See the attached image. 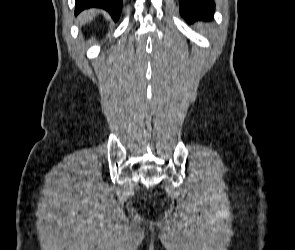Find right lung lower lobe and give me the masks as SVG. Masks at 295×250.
Returning <instances> with one entry per match:
<instances>
[{"label":"right lung lower lobe","instance_id":"98d812e1","mask_svg":"<svg viewBox=\"0 0 295 250\" xmlns=\"http://www.w3.org/2000/svg\"><path fill=\"white\" fill-rule=\"evenodd\" d=\"M92 7L105 9L117 21L121 13L122 0H76L75 14Z\"/></svg>","mask_w":295,"mask_h":250}]
</instances>
